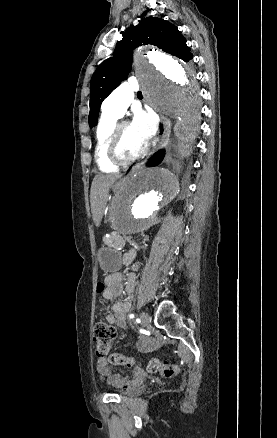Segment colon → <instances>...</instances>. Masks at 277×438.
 <instances>
[{
	"mask_svg": "<svg viewBox=\"0 0 277 438\" xmlns=\"http://www.w3.org/2000/svg\"><path fill=\"white\" fill-rule=\"evenodd\" d=\"M99 290L104 289L102 283L99 284ZM116 338V330L104 322H98L93 327V341L94 347L96 348L98 354L101 356L103 361L107 360L114 364L129 365L132 363V359L126 358L121 354H111L109 351L113 346L114 340ZM150 371L159 372L165 378H172L179 373V366L175 365H165L158 358L151 360L149 365ZM174 387L176 389H185L187 387V382L185 380H176L174 382Z\"/></svg>",
	"mask_w": 277,
	"mask_h": 438,
	"instance_id": "obj_1",
	"label": "colon"
}]
</instances>
